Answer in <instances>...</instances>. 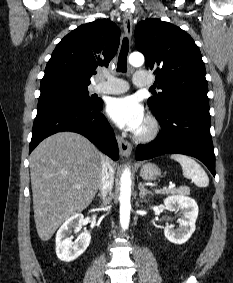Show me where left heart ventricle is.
Masks as SVG:
<instances>
[{
  "label": "left heart ventricle",
  "instance_id": "obj_1",
  "mask_svg": "<svg viewBox=\"0 0 233 283\" xmlns=\"http://www.w3.org/2000/svg\"><path fill=\"white\" fill-rule=\"evenodd\" d=\"M144 127V123L142 124V126H141V128L140 129H142Z\"/></svg>",
  "mask_w": 233,
  "mask_h": 283
}]
</instances>
